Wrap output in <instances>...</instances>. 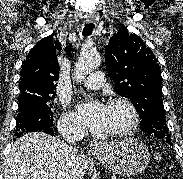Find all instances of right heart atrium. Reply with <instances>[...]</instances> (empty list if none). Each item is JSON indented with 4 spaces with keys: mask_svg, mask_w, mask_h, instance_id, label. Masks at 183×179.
I'll list each match as a JSON object with an SVG mask.
<instances>
[{
    "mask_svg": "<svg viewBox=\"0 0 183 179\" xmlns=\"http://www.w3.org/2000/svg\"><path fill=\"white\" fill-rule=\"evenodd\" d=\"M59 128L65 134L80 133L83 131L81 121L71 113H64L62 115Z\"/></svg>",
    "mask_w": 183,
    "mask_h": 179,
    "instance_id": "right-heart-atrium-1",
    "label": "right heart atrium"
}]
</instances>
